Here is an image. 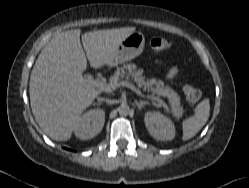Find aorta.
Returning <instances> with one entry per match:
<instances>
[{
    "label": "aorta",
    "instance_id": "aorta-1",
    "mask_svg": "<svg viewBox=\"0 0 249 188\" xmlns=\"http://www.w3.org/2000/svg\"><path fill=\"white\" fill-rule=\"evenodd\" d=\"M129 112H130V107L127 104L123 103L118 107V113L121 116H127Z\"/></svg>",
    "mask_w": 249,
    "mask_h": 188
}]
</instances>
